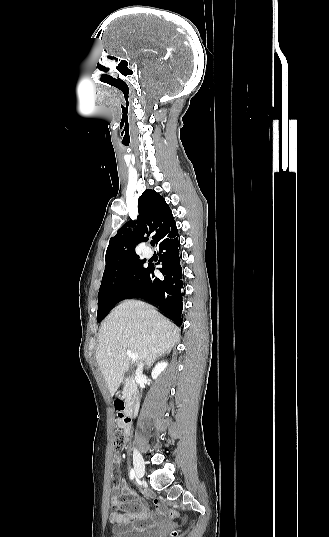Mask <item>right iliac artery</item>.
<instances>
[{"mask_svg": "<svg viewBox=\"0 0 329 537\" xmlns=\"http://www.w3.org/2000/svg\"><path fill=\"white\" fill-rule=\"evenodd\" d=\"M134 477H135V471H134V469H131L130 470V479L133 480Z\"/></svg>", "mask_w": 329, "mask_h": 537, "instance_id": "1", "label": "right iliac artery"}]
</instances>
